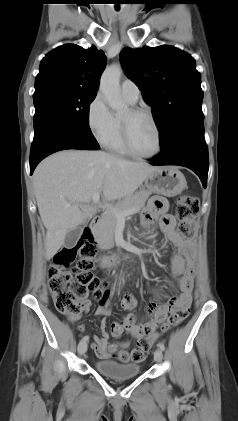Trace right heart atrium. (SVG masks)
Here are the masks:
<instances>
[{
    "label": "right heart atrium",
    "mask_w": 238,
    "mask_h": 421,
    "mask_svg": "<svg viewBox=\"0 0 238 421\" xmlns=\"http://www.w3.org/2000/svg\"><path fill=\"white\" fill-rule=\"evenodd\" d=\"M87 122L92 134L101 144L107 142L114 133L115 116L100 93L88 106Z\"/></svg>",
    "instance_id": "obj_1"
}]
</instances>
